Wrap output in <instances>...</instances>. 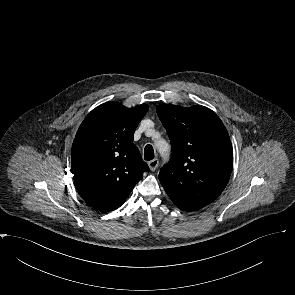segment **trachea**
I'll return each instance as SVG.
<instances>
[{
  "mask_svg": "<svg viewBox=\"0 0 295 295\" xmlns=\"http://www.w3.org/2000/svg\"><path fill=\"white\" fill-rule=\"evenodd\" d=\"M144 159L149 161L154 159V150L151 145H146L144 148Z\"/></svg>",
  "mask_w": 295,
  "mask_h": 295,
  "instance_id": "1",
  "label": "trachea"
}]
</instances>
